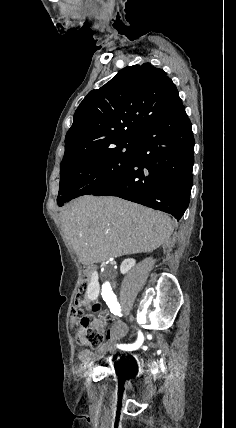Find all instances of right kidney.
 <instances>
[{
	"instance_id": "obj_1",
	"label": "right kidney",
	"mask_w": 236,
	"mask_h": 428,
	"mask_svg": "<svg viewBox=\"0 0 236 428\" xmlns=\"http://www.w3.org/2000/svg\"><path fill=\"white\" fill-rule=\"evenodd\" d=\"M136 260H133V258H127V260H123L121 266H120V272L121 274H127L133 266H135ZM98 274L97 272H94L92 274V280L87 288V298L88 300H96L98 294H99V286H98Z\"/></svg>"
}]
</instances>
